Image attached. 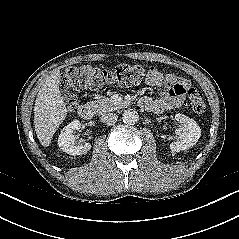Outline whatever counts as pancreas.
Listing matches in <instances>:
<instances>
[{
	"label": "pancreas",
	"instance_id": "obj_1",
	"mask_svg": "<svg viewBox=\"0 0 239 239\" xmlns=\"http://www.w3.org/2000/svg\"><path fill=\"white\" fill-rule=\"evenodd\" d=\"M92 106H94L98 112L103 113L107 111H114L118 109L122 104L115 103L112 98H102L96 101L90 102Z\"/></svg>",
	"mask_w": 239,
	"mask_h": 239
}]
</instances>
